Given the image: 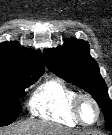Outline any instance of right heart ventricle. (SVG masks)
I'll return each instance as SVG.
<instances>
[{
	"label": "right heart ventricle",
	"instance_id": "e07e8e85",
	"mask_svg": "<svg viewBox=\"0 0 112 135\" xmlns=\"http://www.w3.org/2000/svg\"><path fill=\"white\" fill-rule=\"evenodd\" d=\"M75 95V90L65 82L53 78L34 90L29 108L34 116L67 127H76L80 124L72 111V100Z\"/></svg>",
	"mask_w": 112,
	"mask_h": 135
}]
</instances>
